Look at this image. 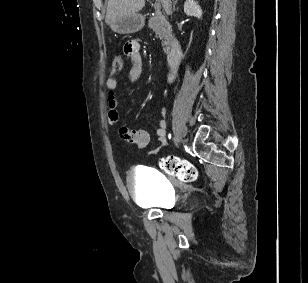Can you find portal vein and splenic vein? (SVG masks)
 I'll return each instance as SVG.
<instances>
[{
	"label": "portal vein and splenic vein",
	"mask_w": 308,
	"mask_h": 283,
	"mask_svg": "<svg viewBox=\"0 0 308 283\" xmlns=\"http://www.w3.org/2000/svg\"><path fill=\"white\" fill-rule=\"evenodd\" d=\"M154 7H155V10L159 11V9H160V7H161L160 1H159V0H156V3H155V5H154Z\"/></svg>",
	"instance_id": "18ae733b"
}]
</instances>
